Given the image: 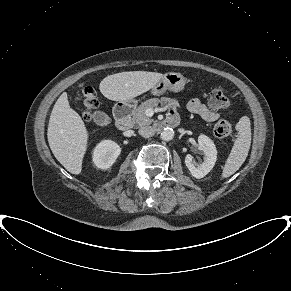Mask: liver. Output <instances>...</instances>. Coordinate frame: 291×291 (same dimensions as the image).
Here are the masks:
<instances>
[{
  "instance_id": "1",
  "label": "liver",
  "mask_w": 291,
  "mask_h": 291,
  "mask_svg": "<svg viewBox=\"0 0 291 291\" xmlns=\"http://www.w3.org/2000/svg\"><path fill=\"white\" fill-rule=\"evenodd\" d=\"M162 78L163 74L157 72H121L105 77L99 89L109 100L125 101L149 91ZM47 137L55 158L70 173L80 174L89 134L80 115L70 108L66 92L61 94L53 107Z\"/></svg>"
}]
</instances>
